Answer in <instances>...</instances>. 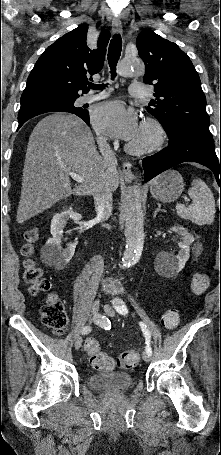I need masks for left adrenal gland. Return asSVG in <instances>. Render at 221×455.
Returning a JSON list of instances; mask_svg holds the SVG:
<instances>
[{"label":"left adrenal gland","mask_w":221,"mask_h":455,"mask_svg":"<svg viewBox=\"0 0 221 455\" xmlns=\"http://www.w3.org/2000/svg\"><path fill=\"white\" fill-rule=\"evenodd\" d=\"M165 210L161 209V204H158V208L155 210L153 217L155 218L158 212H164Z\"/></svg>","instance_id":"obj_1"}]
</instances>
